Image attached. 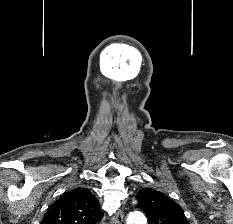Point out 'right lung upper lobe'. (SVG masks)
Listing matches in <instances>:
<instances>
[{
	"label": "right lung upper lobe",
	"instance_id": "right-lung-upper-lobe-1",
	"mask_svg": "<svg viewBox=\"0 0 233 224\" xmlns=\"http://www.w3.org/2000/svg\"><path fill=\"white\" fill-rule=\"evenodd\" d=\"M102 217L96 198L87 189L79 188L55 201L41 224H96Z\"/></svg>",
	"mask_w": 233,
	"mask_h": 224
}]
</instances>
